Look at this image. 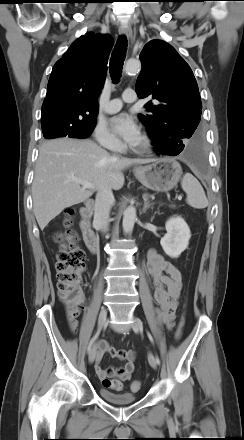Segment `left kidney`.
<instances>
[{
    "instance_id": "obj_1",
    "label": "left kidney",
    "mask_w": 244,
    "mask_h": 440,
    "mask_svg": "<svg viewBox=\"0 0 244 440\" xmlns=\"http://www.w3.org/2000/svg\"><path fill=\"white\" fill-rule=\"evenodd\" d=\"M165 228L167 233L161 238L160 244L169 257L178 258L188 247L191 237L190 229L181 217L170 218Z\"/></svg>"
}]
</instances>
